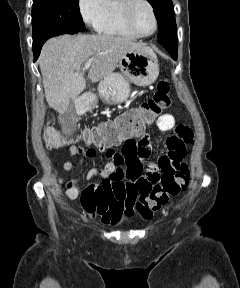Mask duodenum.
<instances>
[{
    "instance_id": "1",
    "label": "duodenum",
    "mask_w": 240,
    "mask_h": 288,
    "mask_svg": "<svg viewBox=\"0 0 240 288\" xmlns=\"http://www.w3.org/2000/svg\"><path fill=\"white\" fill-rule=\"evenodd\" d=\"M91 101L90 95L82 96L77 102V110L80 114H83L88 111Z\"/></svg>"
}]
</instances>
